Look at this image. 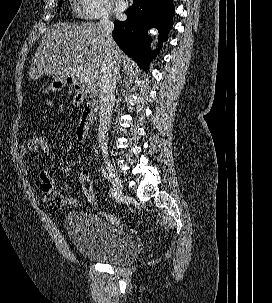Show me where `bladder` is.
<instances>
[{
    "label": "bladder",
    "mask_w": 272,
    "mask_h": 303,
    "mask_svg": "<svg viewBox=\"0 0 272 303\" xmlns=\"http://www.w3.org/2000/svg\"><path fill=\"white\" fill-rule=\"evenodd\" d=\"M65 229L77 252L87 260L120 265L135 260L140 252L131 234L91 212H69Z\"/></svg>",
    "instance_id": "1"
}]
</instances>
